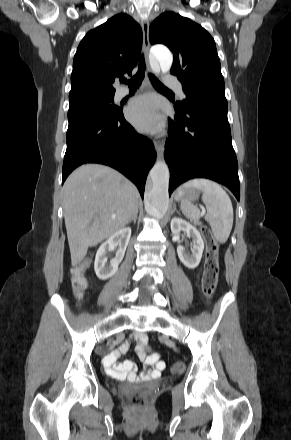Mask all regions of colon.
<instances>
[{
    "mask_svg": "<svg viewBox=\"0 0 291 440\" xmlns=\"http://www.w3.org/2000/svg\"><path fill=\"white\" fill-rule=\"evenodd\" d=\"M202 234L206 245L205 268L202 278V289L206 297H211L215 292L218 281L219 261H218V242L212 236L208 228H202ZM88 259H83L75 269L72 277L73 288L76 293L80 294L86 289V281L83 276L84 270L88 267ZM142 354H146L156 360L159 355L151 353L148 346L143 345ZM131 403L136 408L144 407L147 404V392L144 389H137L131 396Z\"/></svg>",
    "mask_w": 291,
    "mask_h": 440,
    "instance_id": "1",
    "label": "colon"
}]
</instances>
